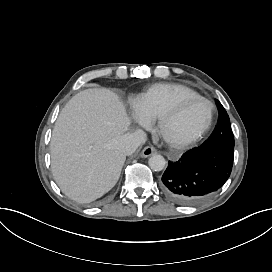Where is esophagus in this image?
<instances>
[{
  "mask_svg": "<svg viewBox=\"0 0 272 272\" xmlns=\"http://www.w3.org/2000/svg\"><path fill=\"white\" fill-rule=\"evenodd\" d=\"M154 153H156V149L152 146H147L142 150L141 156L142 157H149V156L153 155Z\"/></svg>",
  "mask_w": 272,
  "mask_h": 272,
  "instance_id": "obj_1",
  "label": "esophagus"
}]
</instances>
